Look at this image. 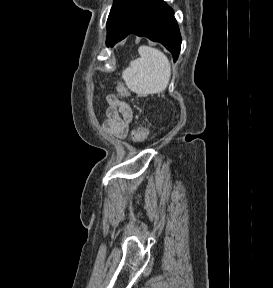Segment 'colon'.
I'll use <instances>...</instances> for the list:
<instances>
[{
  "label": "colon",
  "instance_id": "obj_1",
  "mask_svg": "<svg viewBox=\"0 0 273 288\" xmlns=\"http://www.w3.org/2000/svg\"><path fill=\"white\" fill-rule=\"evenodd\" d=\"M117 92L122 97H127L130 94L128 88L121 82L117 84ZM148 135L149 128L146 124L143 123L132 131L131 137L133 142L142 143L148 138Z\"/></svg>",
  "mask_w": 273,
  "mask_h": 288
}]
</instances>
